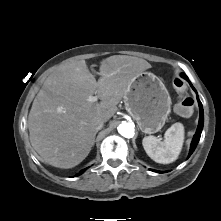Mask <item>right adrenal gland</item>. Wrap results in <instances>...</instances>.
Wrapping results in <instances>:
<instances>
[{
    "label": "right adrenal gland",
    "mask_w": 221,
    "mask_h": 221,
    "mask_svg": "<svg viewBox=\"0 0 221 221\" xmlns=\"http://www.w3.org/2000/svg\"><path fill=\"white\" fill-rule=\"evenodd\" d=\"M96 134H97V132H94V134H93V143H92V145H94V143H95V136H96Z\"/></svg>",
    "instance_id": "2a0ac1e0"
}]
</instances>
